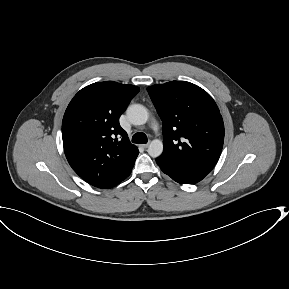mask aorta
Wrapping results in <instances>:
<instances>
[{"label": "aorta", "instance_id": "1", "mask_svg": "<svg viewBox=\"0 0 289 289\" xmlns=\"http://www.w3.org/2000/svg\"><path fill=\"white\" fill-rule=\"evenodd\" d=\"M127 116L133 125H143L147 122L149 114L147 109L140 104H133L127 108ZM163 152V142L160 139H154L148 147V154L153 157H159Z\"/></svg>", "mask_w": 289, "mask_h": 289}]
</instances>
